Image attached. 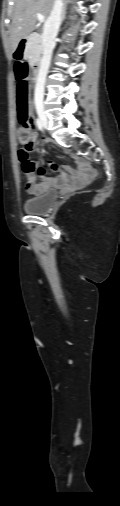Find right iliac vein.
<instances>
[{"instance_id":"63e3f726","label":"right iliac vein","mask_w":120,"mask_h":506,"mask_svg":"<svg viewBox=\"0 0 120 506\" xmlns=\"http://www.w3.org/2000/svg\"><path fill=\"white\" fill-rule=\"evenodd\" d=\"M36 108H37V113L40 118V121H41L43 127L46 128L48 126V119H47L46 113H45L42 106L38 105Z\"/></svg>"}]
</instances>
